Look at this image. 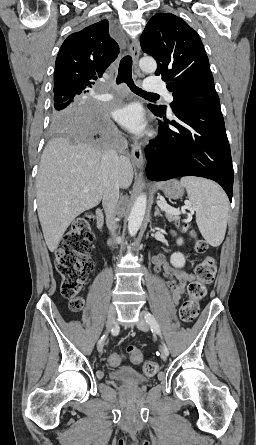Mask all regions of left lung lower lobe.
Instances as JSON below:
<instances>
[{"mask_svg": "<svg viewBox=\"0 0 256 445\" xmlns=\"http://www.w3.org/2000/svg\"><path fill=\"white\" fill-rule=\"evenodd\" d=\"M150 110L165 122H160L157 139L145 149L148 178L205 177L219 183L231 201L234 171L221 109L177 103L172 121L161 111Z\"/></svg>", "mask_w": 256, "mask_h": 445, "instance_id": "obj_1", "label": "left lung lower lobe"}]
</instances>
